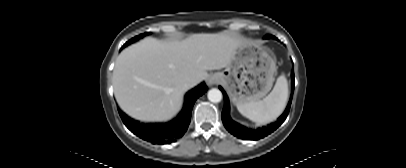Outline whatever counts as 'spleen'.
<instances>
[{"label":"spleen","mask_w":406,"mask_h":168,"mask_svg":"<svg viewBox=\"0 0 406 168\" xmlns=\"http://www.w3.org/2000/svg\"><path fill=\"white\" fill-rule=\"evenodd\" d=\"M288 100V84L285 75H280L273 90L263 100L237 106L246 118L258 124H267L281 115Z\"/></svg>","instance_id":"obj_1"}]
</instances>
